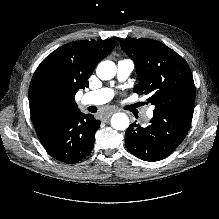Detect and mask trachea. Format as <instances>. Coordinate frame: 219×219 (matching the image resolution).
<instances>
[{
	"label": "trachea",
	"instance_id": "trachea-1",
	"mask_svg": "<svg viewBox=\"0 0 219 219\" xmlns=\"http://www.w3.org/2000/svg\"><path fill=\"white\" fill-rule=\"evenodd\" d=\"M89 111L92 112V113H94V112L97 111V109H96L95 107H90V108H89Z\"/></svg>",
	"mask_w": 219,
	"mask_h": 219
}]
</instances>
